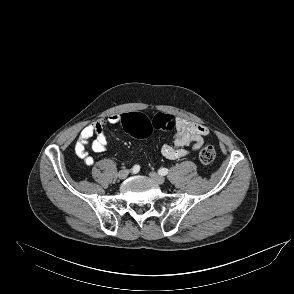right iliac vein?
<instances>
[{"label":"right iliac vein","instance_id":"1","mask_svg":"<svg viewBox=\"0 0 294 294\" xmlns=\"http://www.w3.org/2000/svg\"><path fill=\"white\" fill-rule=\"evenodd\" d=\"M129 174V171L124 169V170H121L119 173H118V177L119 179H125Z\"/></svg>","mask_w":294,"mask_h":294}]
</instances>
